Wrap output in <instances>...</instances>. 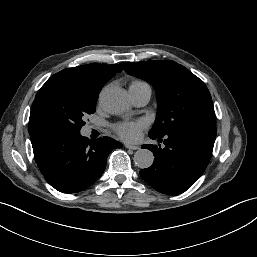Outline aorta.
<instances>
[{
    "instance_id": "obj_1",
    "label": "aorta",
    "mask_w": 257,
    "mask_h": 257,
    "mask_svg": "<svg viewBox=\"0 0 257 257\" xmlns=\"http://www.w3.org/2000/svg\"><path fill=\"white\" fill-rule=\"evenodd\" d=\"M100 103L104 110L112 114H120L130 106L128 93L116 86H107L101 91ZM153 161L154 155L148 149H139L134 154V162L139 168H148Z\"/></svg>"
}]
</instances>
